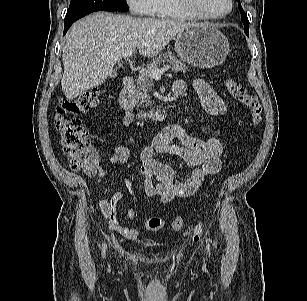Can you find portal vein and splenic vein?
<instances>
[{"mask_svg": "<svg viewBox=\"0 0 307 301\" xmlns=\"http://www.w3.org/2000/svg\"><path fill=\"white\" fill-rule=\"evenodd\" d=\"M134 50L127 51L123 54V58L131 57ZM170 69V65L163 66L162 68H155L150 71V75L153 79H160L161 76Z\"/></svg>", "mask_w": 307, "mask_h": 301, "instance_id": "obj_1", "label": "portal vein and splenic vein"}]
</instances>
